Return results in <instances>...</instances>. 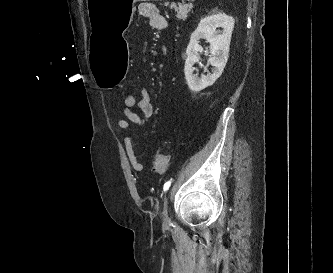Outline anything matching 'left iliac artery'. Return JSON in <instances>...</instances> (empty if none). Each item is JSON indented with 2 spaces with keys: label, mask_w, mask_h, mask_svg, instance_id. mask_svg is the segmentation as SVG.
<instances>
[{
  "label": "left iliac artery",
  "mask_w": 333,
  "mask_h": 273,
  "mask_svg": "<svg viewBox=\"0 0 333 273\" xmlns=\"http://www.w3.org/2000/svg\"><path fill=\"white\" fill-rule=\"evenodd\" d=\"M170 185H171V181H167V182L164 184L163 190H164V191H167V190L169 189Z\"/></svg>",
  "instance_id": "44dca946"
}]
</instances>
